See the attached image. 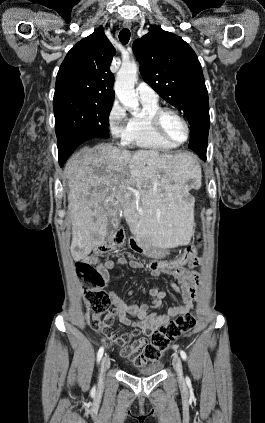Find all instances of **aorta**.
<instances>
[{
  "mask_svg": "<svg viewBox=\"0 0 265 423\" xmlns=\"http://www.w3.org/2000/svg\"><path fill=\"white\" fill-rule=\"evenodd\" d=\"M138 67L135 63L123 64L118 71L114 90L120 103L130 109L133 115L139 113L138 96L134 86L137 81Z\"/></svg>",
  "mask_w": 265,
  "mask_h": 423,
  "instance_id": "1",
  "label": "aorta"
}]
</instances>
